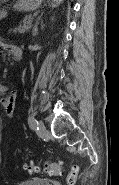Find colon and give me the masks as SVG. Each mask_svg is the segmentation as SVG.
I'll return each mask as SVG.
<instances>
[{
    "instance_id": "1",
    "label": "colon",
    "mask_w": 119,
    "mask_h": 185,
    "mask_svg": "<svg viewBox=\"0 0 119 185\" xmlns=\"http://www.w3.org/2000/svg\"><path fill=\"white\" fill-rule=\"evenodd\" d=\"M24 169L30 173H39L41 171L40 166L34 163L25 164ZM46 175H59L62 173V163L61 162H49L46 163L43 169ZM79 167L73 166L67 177L68 185H75L78 180Z\"/></svg>"
}]
</instances>
